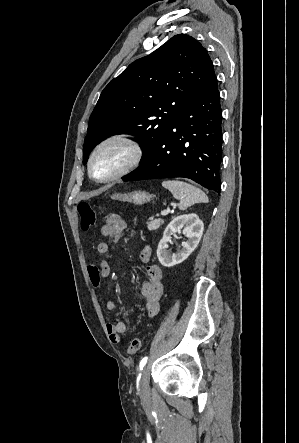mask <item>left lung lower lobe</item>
Here are the masks:
<instances>
[{"mask_svg": "<svg viewBox=\"0 0 299 443\" xmlns=\"http://www.w3.org/2000/svg\"><path fill=\"white\" fill-rule=\"evenodd\" d=\"M215 73L176 116L148 157L123 181L185 177L221 190L222 114Z\"/></svg>", "mask_w": 299, "mask_h": 443, "instance_id": "1", "label": "left lung lower lobe"}]
</instances>
